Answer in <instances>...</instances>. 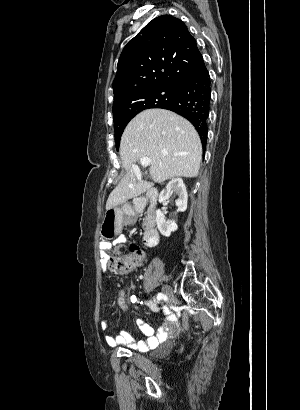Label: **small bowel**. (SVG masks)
<instances>
[{
  "instance_id": "obj_1",
  "label": "small bowel",
  "mask_w": 300,
  "mask_h": 410,
  "mask_svg": "<svg viewBox=\"0 0 300 410\" xmlns=\"http://www.w3.org/2000/svg\"><path fill=\"white\" fill-rule=\"evenodd\" d=\"M131 301L134 303L139 302L137 297H131ZM117 306L120 312L127 311L128 306L123 290H120L118 293ZM148 306L156 312H161L164 316V321L160 325L157 334H155L153 327L146 321L140 320L138 326L146 337L144 340L137 341L127 331H120L117 335H107L105 337L106 343L111 347L126 346L131 349L147 351L180 332V326L177 323L176 317L168 306L155 305L153 303H148ZM99 326L105 331L109 328L110 321L108 319H101Z\"/></svg>"
}]
</instances>
